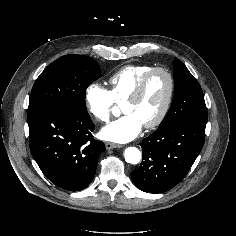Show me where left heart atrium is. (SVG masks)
<instances>
[{"instance_id": "1", "label": "left heart atrium", "mask_w": 236, "mask_h": 236, "mask_svg": "<svg viewBox=\"0 0 236 236\" xmlns=\"http://www.w3.org/2000/svg\"><path fill=\"white\" fill-rule=\"evenodd\" d=\"M143 125L136 114L129 113L105 126L100 136L108 141L126 143L139 135Z\"/></svg>"}]
</instances>
